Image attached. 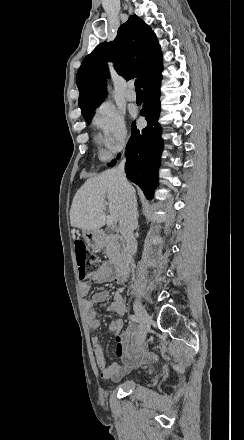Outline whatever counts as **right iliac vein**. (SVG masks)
<instances>
[{
  "mask_svg": "<svg viewBox=\"0 0 244 440\" xmlns=\"http://www.w3.org/2000/svg\"><path fill=\"white\" fill-rule=\"evenodd\" d=\"M134 310L136 315L140 319V325L138 329V335L136 337V343L142 344L146 339V334L148 331V325L151 323V318L143 308L142 304L138 300H134Z\"/></svg>",
  "mask_w": 244,
  "mask_h": 440,
  "instance_id": "right-iliac-vein-1",
  "label": "right iliac vein"
}]
</instances>
